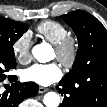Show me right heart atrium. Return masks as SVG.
<instances>
[{"label":"right heart atrium","mask_w":107,"mask_h":107,"mask_svg":"<svg viewBox=\"0 0 107 107\" xmlns=\"http://www.w3.org/2000/svg\"><path fill=\"white\" fill-rule=\"evenodd\" d=\"M32 39L30 32L21 34L13 43L12 49L16 59L20 63H28L31 58Z\"/></svg>","instance_id":"d8ad5b80"}]
</instances>
